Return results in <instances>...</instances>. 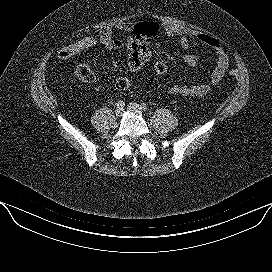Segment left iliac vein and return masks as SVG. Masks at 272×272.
Here are the masks:
<instances>
[{"label":"left iliac vein","instance_id":"4c4485c4","mask_svg":"<svg viewBox=\"0 0 272 272\" xmlns=\"http://www.w3.org/2000/svg\"><path fill=\"white\" fill-rule=\"evenodd\" d=\"M127 109H128L129 112H132V113H135V114L141 115L143 113V109L137 103H130L127 106Z\"/></svg>","mask_w":272,"mask_h":272}]
</instances>
